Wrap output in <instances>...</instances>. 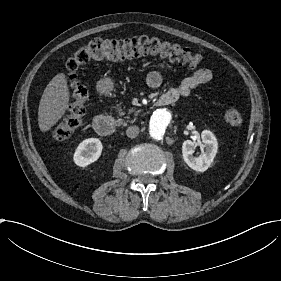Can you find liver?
<instances>
[{
  "label": "liver",
  "mask_w": 281,
  "mask_h": 281,
  "mask_svg": "<svg viewBox=\"0 0 281 281\" xmlns=\"http://www.w3.org/2000/svg\"><path fill=\"white\" fill-rule=\"evenodd\" d=\"M69 90L64 73H59L46 86L38 107V124L42 132L50 130L69 108Z\"/></svg>",
  "instance_id": "liver-1"
}]
</instances>
